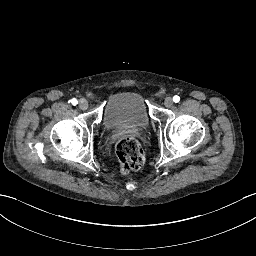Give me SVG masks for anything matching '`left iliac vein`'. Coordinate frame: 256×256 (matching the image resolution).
Here are the masks:
<instances>
[{
  "instance_id": "obj_1",
  "label": "left iliac vein",
  "mask_w": 256,
  "mask_h": 256,
  "mask_svg": "<svg viewBox=\"0 0 256 256\" xmlns=\"http://www.w3.org/2000/svg\"><path fill=\"white\" fill-rule=\"evenodd\" d=\"M164 105L167 107V108H170L172 105H173V100L171 97H166L165 100H164Z\"/></svg>"
}]
</instances>
